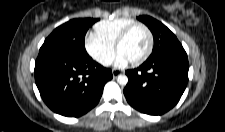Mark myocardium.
<instances>
[{"label":"myocardium","mask_w":225,"mask_h":132,"mask_svg":"<svg viewBox=\"0 0 225 132\" xmlns=\"http://www.w3.org/2000/svg\"><path fill=\"white\" fill-rule=\"evenodd\" d=\"M137 28H142L143 30H145V32L148 35L149 44H148V48H147L146 52L141 57H139L138 59L129 61V63L132 65H139V64L145 62L149 58V56L151 55V53L153 51L154 37H153V34H152L151 30L149 29V27L143 23H135L133 25H130L118 36V38L115 42V45H114L116 52H119V48H120L121 44L126 40V38L130 35V33Z\"/></svg>","instance_id":"f54148a6"}]
</instances>
